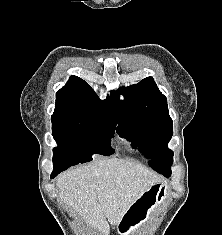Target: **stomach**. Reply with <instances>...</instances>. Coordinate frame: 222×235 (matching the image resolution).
<instances>
[{
  "label": "stomach",
  "mask_w": 222,
  "mask_h": 235,
  "mask_svg": "<svg viewBox=\"0 0 222 235\" xmlns=\"http://www.w3.org/2000/svg\"><path fill=\"white\" fill-rule=\"evenodd\" d=\"M168 187L165 183H156L145 190L130 206L118 224L120 235H134L145 225L156 210L166 201Z\"/></svg>",
  "instance_id": "obj_1"
}]
</instances>
